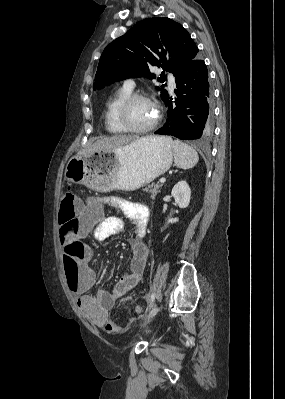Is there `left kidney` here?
<instances>
[{
	"instance_id": "left-kidney-1",
	"label": "left kidney",
	"mask_w": 285,
	"mask_h": 399,
	"mask_svg": "<svg viewBox=\"0 0 285 399\" xmlns=\"http://www.w3.org/2000/svg\"><path fill=\"white\" fill-rule=\"evenodd\" d=\"M171 195L175 199V203L180 208L188 207L191 197V189L186 181H179L172 189ZM178 218H170L168 223L178 222Z\"/></svg>"
}]
</instances>
